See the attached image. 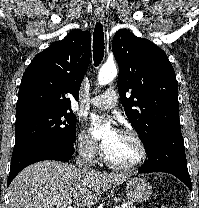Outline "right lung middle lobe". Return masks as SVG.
I'll use <instances>...</instances> for the list:
<instances>
[{
	"label": "right lung middle lobe",
	"instance_id": "dd1d6c3e",
	"mask_svg": "<svg viewBox=\"0 0 199 208\" xmlns=\"http://www.w3.org/2000/svg\"><path fill=\"white\" fill-rule=\"evenodd\" d=\"M15 146L18 149L37 143H55L74 148L76 119L71 110L27 108L16 111Z\"/></svg>",
	"mask_w": 199,
	"mask_h": 208
}]
</instances>
